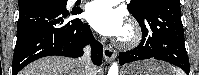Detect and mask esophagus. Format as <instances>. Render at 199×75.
Segmentation results:
<instances>
[{
	"mask_svg": "<svg viewBox=\"0 0 199 75\" xmlns=\"http://www.w3.org/2000/svg\"><path fill=\"white\" fill-rule=\"evenodd\" d=\"M103 54L106 62H111L116 58V51L105 44L103 46Z\"/></svg>",
	"mask_w": 199,
	"mask_h": 75,
	"instance_id": "esophagus-1",
	"label": "esophagus"
}]
</instances>
